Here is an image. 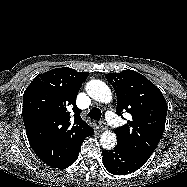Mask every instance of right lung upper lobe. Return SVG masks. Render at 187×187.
Here are the masks:
<instances>
[{"mask_svg": "<svg viewBox=\"0 0 187 187\" xmlns=\"http://www.w3.org/2000/svg\"><path fill=\"white\" fill-rule=\"evenodd\" d=\"M88 75L68 67L56 68L36 76L24 91L23 120L29 143L51 167L68 161L75 147L94 132L76 106L78 91Z\"/></svg>", "mask_w": 187, "mask_h": 187, "instance_id": "cb5924a9", "label": "right lung upper lobe"}]
</instances>
